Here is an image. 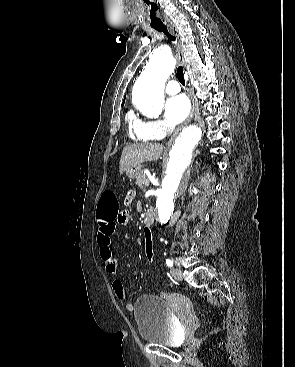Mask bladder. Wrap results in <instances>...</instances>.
Instances as JSON below:
<instances>
[{
  "instance_id": "1",
  "label": "bladder",
  "mask_w": 295,
  "mask_h": 367,
  "mask_svg": "<svg viewBox=\"0 0 295 367\" xmlns=\"http://www.w3.org/2000/svg\"><path fill=\"white\" fill-rule=\"evenodd\" d=\"M134 317L144 342L167 346L179 344L180 327L163 299L153 295L139 297L135 302Z\"/></svg>"
}]
</instances>
